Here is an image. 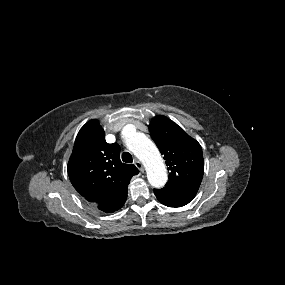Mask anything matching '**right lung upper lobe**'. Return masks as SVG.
<instances>
[{
	"instance_id": "cb5924a9",
	"label": "right lung upper lobe",
	"mask_w": 285,
	"mask_h": 285,
	"mask_svg": "<svg viewBox=\"0 0 285 285\" xmlns=\"http://www.w3.org/2000/svg\"><path fill=\"white\" fill-rule=\"evenodd\" d=\"M68 175L83 201L97 211L119 210L127 199L128 184L139 173L120 160V146L108 144L97 120L79 131L68 162Z\"/></svg>"
}]
</instances>
